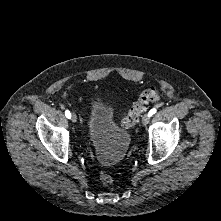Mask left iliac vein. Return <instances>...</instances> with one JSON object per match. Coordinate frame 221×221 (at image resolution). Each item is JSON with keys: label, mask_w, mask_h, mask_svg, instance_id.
<instances>
[{"label": "left iliac vein", "mask_w": 221, "mask_h": 221, "mask_svg": "<svg viewBox=\"0 0 221 221\" xmlns=\"http://www.w3.org/2000/svg\"><path fill=\"white\" fill-rule=\"evenodd\" d=\"M149 121H150V116H149L148 114H145V115L142 117V124H143L144 126H146V125H148Z\"/></svg>", "instance_id": "left-iliac-vein-1"}]
</instances>
